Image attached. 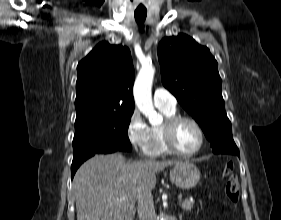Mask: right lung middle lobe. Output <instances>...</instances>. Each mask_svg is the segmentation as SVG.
<instances>
[{
    "mask_svg": "<svg viewBox=\"0 0 281 220\" xmlns=\"http://www.w3.org/2000/svg\"><path fill=\"white\" fill-rule=\"evenodd\" d=\"M133 112H113L76 118L74 158L110 149L131 151L127 131Z\"/></svg>",
    "mask_w": 281,
    "mask_h": 220,
    "instance_id": "right-lung-middle-lobe-1",
    "label": "right lung middle lobe"
}]
</instances>
